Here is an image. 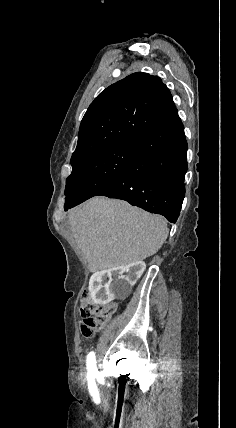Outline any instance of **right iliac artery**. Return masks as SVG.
Wrapping results in <instances>:
<instances>
[{
  "instance_id": "1",
  "label": "right iliac artery",
  "mask_w": 236,
  "mask_h": 428,
  "mask_svg": "<svg viewBox=\"0 0 236 428\" xmlns=\"http://www.w3.org/2000/svg\"><path fill=\"white\" fill-rule=\"evenodd\" d=\"M87 371L88 374H98V369L96 366V359H95V353L92 351L87 355Z\"/></svg>"
}]
</instances>
